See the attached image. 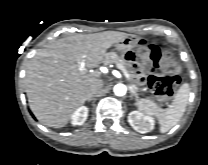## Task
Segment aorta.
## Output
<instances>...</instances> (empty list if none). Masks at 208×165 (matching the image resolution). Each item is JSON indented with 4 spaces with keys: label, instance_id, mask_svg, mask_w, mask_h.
Returning <instances> with one entry per match:
<instances>
[{
    "label": "aorta",
    "instance_id": "762f6f07",
    "mask_svg": "<svg viewBox=\"0 0 208 165\" xmlns=\"http://www.w3.org/2000/svg\"><path fill=\"white\" fill-rule=\"evenodd\" d=\"M113 91L116 96H124L127 92V87L119 83L114 86Z\"/></svg>",
    "mask_w": 208,
    "mask_h": 165
}]
</instances>
